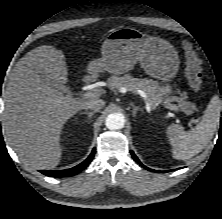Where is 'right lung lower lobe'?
I'll return each mask as SVG.
<instances>
[{
    "label": "right lung lower lobe",
    "instance_id": "right-lung-lower-lobe-1",
    "mask_svg": "<svg viewBox=\"0 0 222 219\" xmlns=\"http://www.w3.org/2000/svg\"><path fill=\"white\" fill-rule=\"evenodd\" d=\"M95 154V149L92 150L90 156L83 161L82 163H80L79 165L67 169V170H42L40 171L41 173H43L46 176L49 177H69V176H73L78 174L79 172H81L83 169H85L89 163L91 162V160L93 159Z\"/></svg>",
    "mask_w": 222,
    "mask_h": 219
}]
</instances>
